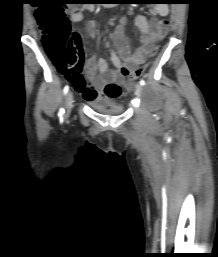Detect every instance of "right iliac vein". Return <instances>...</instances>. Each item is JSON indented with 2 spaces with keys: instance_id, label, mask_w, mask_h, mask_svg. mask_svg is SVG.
Here are the masks:
<instances>
[{
  "instance_id": "right-iliac-vein-1",
  "label": "right iliac vein",
  "mask_w": 218,
  "mask_h": 257,
  "mask_svg": "<svg viewBox=\"0 0 218 257\" xmlns=\"http://www.w3.org/2000/svg\"><path fill=\"white\" fill-rule=\"evenodd\" d=\"M72 101H73V95L71 92H68L65 98V111H64L65 117H67L71 111Z\"/></svg>"
}]
</instances>
